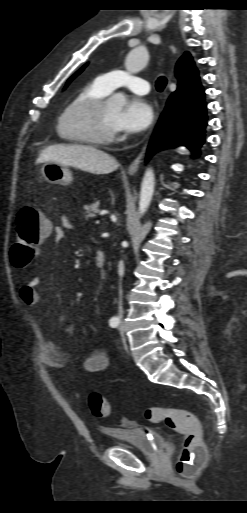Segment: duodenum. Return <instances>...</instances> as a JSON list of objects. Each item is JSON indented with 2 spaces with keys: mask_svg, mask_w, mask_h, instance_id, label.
I'll return each instance as SVG.
<instances>
[{
  "mask_svg": "<svg viewBox=\"0 0 247 513\" xmlns=\"http://www.w3.org/2000/svg\"><path fill=\"white\" fill-rule=\"evenodd\" d=\"M95 265L99 269H103L106 263V254L102 249H98L95 253V259H94Z\"/></svg>",
  "mask_w": 247,
  "mask_h": 513,
  "instance_id": "duodenum-1",
  "label": "duodenum"
}]
</instances>
